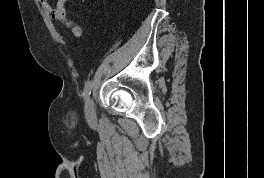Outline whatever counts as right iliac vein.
I'll list each match as a JSON object with an SVG mask.
<instances>
[{"label":"right iliac vein","instance_id":"right-iliac-vein-1","mask_svg":"<svg viewBox=\"0 0 264 178\" xmlns=\"http://www.w3.org/2000/svg\"><path fill=\"white\" fill-rule=\"evenodd\" d=\"M85 115L89 123L95 122V109L92 98H89L85 105Z\"/></svg>","mask_w":264,"mask_h":178}]
</instances>
